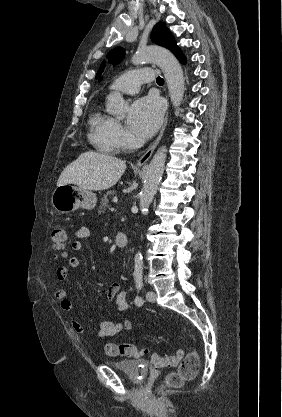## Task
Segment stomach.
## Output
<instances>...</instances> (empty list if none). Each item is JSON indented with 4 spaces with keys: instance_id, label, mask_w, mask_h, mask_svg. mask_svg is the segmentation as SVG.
<instances>
[{
    "instance_id": "stomach-1",
    "label": "stomach",
    "mask_w": 282,
    "mask_h": 417,
    "mask_svg": "<svg viewBox=\"0 0 282 417\" xmlns=\"http://www.w3.org/2000/svg\"><path fill=\"white\" fill-rule=\"evenodd\" d=\"M51 202L57 213L65 215V213H73L77 209H86V211L95 209L97 196L95 192L84 190L79 186L60 184L53 190Z\"/></svg>"
}]
</instances>
